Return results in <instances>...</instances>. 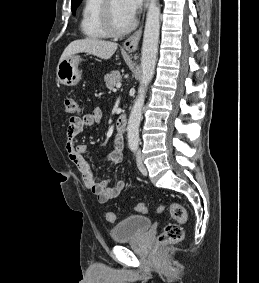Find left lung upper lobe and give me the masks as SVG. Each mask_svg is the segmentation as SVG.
Returning <instances> with one entry per match:
<instances>
[{
  "instance_id": "obj_1",
  "label": "left lung upper lobe",
  "mask_w": 259,
  "mask_h": 283,
  "mask_svg": "<svg viewBox=\"0 0 259 283\" xmlns=\"http://www.w3.org/2000/svg\"><path fill=\"white\" fill-rule=\"evenodd\" d=\"M82 0H72L71 2V8L73 15L75 14L76 8L79 6Z\"/></svg>"
}]
</instances>
